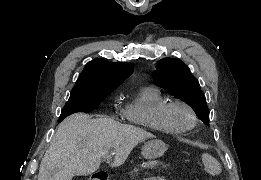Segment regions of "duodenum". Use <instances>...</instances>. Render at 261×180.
I'll return each instance as SVG.
<instances>
[{"instance_id":"1","label":"duodenum","mask_w":261,"mask_h":180,"mask_svg":"<svg viewBox=\"0 0 261 180\" xmlns=\"http://www.w3.org/2000/svg\"><path fill=\"white\" fill-rule=\"evenodd\" d=\"M91 180H109L106 173H93Z\"/></svg>"}]
</instances>
